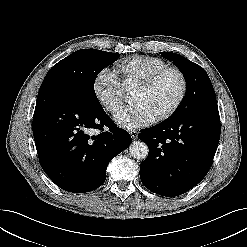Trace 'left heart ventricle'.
Instances as JSON below:
<instances>
[{
  "label": "left heart ventricle",
  "mask_w": 247,
  "mask_h": 247,
  "mask_svg": "<svg viewBox=\"0 0 247 247\" xmlns=\"http://www.w3.org/2000/svg\"><path fill=\"white\" fill-rule=\"evenodd\" d=\"M181 90V80L177 73L169 71L160 76L149 88L136 87L133 102L145 103L156 116L170 108Z\"/></svg>",
  "instance_id": "b2bd125f"
}]
</instances>
